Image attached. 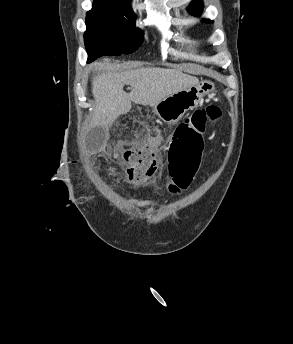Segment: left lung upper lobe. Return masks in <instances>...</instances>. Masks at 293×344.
Listing matches in <instances>:
<instances>
[{
  "label": "left lung upper lobe",
  "instance_id": "obj_1",
  "mask_svg": "<svg viewBox=\"0 0 293 344\" xmlns=\"http://www.w3.org/2000/svg\"><path fill=\"white\" fill-rule=\"evenodd\" d=\"M202 10H203L202 0H193L187 8V11L195 16H199ZM203 22H210V20L204 19Z\"/></svg>",
  "mask_w": 293,
  "mask_h": 344
}]
</instances>
